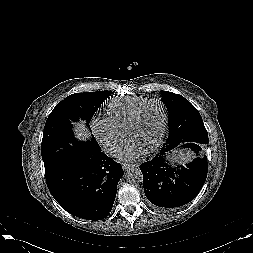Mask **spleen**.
Here are the masks:
<instances>
[{"mask_svg": "<svg viewBox=\"0 0 253 253\" xmlns=\"http://www.w3.org/2000/svg\"><path fill=\"white\" fill-rule=\"evenodd\" d=\"M163 167L171 178L176 180H188L199 172L201 158L193 147L188 145H176L165 153Z\"/></svg>", "mask_w": 253, "mask_h": 253, "instance_id": "3e777b00", "label": "spleen"}]
</instances>
